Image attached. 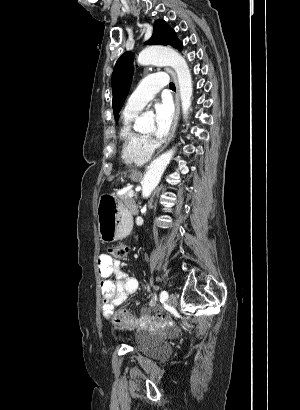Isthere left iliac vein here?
<instances>
[{"mask_svg":"<svg viewBox=\"0 0 300 410\" xmlns=\"http://www.w3.org/2000/svg\"><path fill=\"white\" fill-rule=\"evenodd\" d=\"M168 304L171 306H175L177 304V297L174 293H171L168 297Z\"/></svg>","mask_w":300,"mask_h":410,"instance_id":"1","label":"left iliac vein"}]
</instances>
